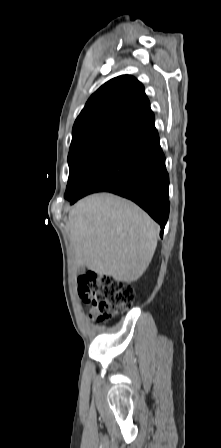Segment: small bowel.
<instances>
[{
	"label": "small bowel",
	"mask_w": 221,
	"mask_h": 448,
	"mask_svg": "<svg viewBox=\"0 0 221 448\" xmlns=\"http://www.w3.org/2000/svg\"><path fill=\"white\" fill-rule=\"evenodd\" d=\"M91 313H92V314H95V313H96L94 308L91 309Z\"/></svg>",
	"instance_id": "c3829d8e"
}]
</instances>
